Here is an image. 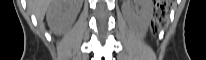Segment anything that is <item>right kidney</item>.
Returning a JSON list of instances; mask_svg holds the SVG:
<instances>
[{
    "label": "right kidney",
    "instance_id": "obj_1",
    "mask_svg": "<svg viewBox=\"0 0 206 60\" xmlns=\"http://www.w3.org/2000/svg\"><path fill=\"white\" fill-rule=\"evenodd\" d=\"M80 3L71 0H56L50 4L47 21L50 28L58 33L64 32L74 22Z\"/></svg>",
    "mask_w": 206,
    "mask_h": 60
}]
</instances>
